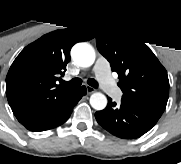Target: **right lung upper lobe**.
I'll return each mask as SVG.
<instances>
[{"mask_svg": "<svg viewBox=\"0 0 181 164\" xmlns=\"http://www.w3.org/2000/svg\"><path fill=\"white\" fill-rule=\"evenodd\" d=\"M93 37L82 27L48 33L25 47L6 77V95L11 109L24 105H47L72 88L56 84L70 61V50L79 41Z\"/></svg>", "mask_w": 181, "mask_h": 164, "instance_id": "obj_1", "label": "right lung upper lobe"}]
</instances>
